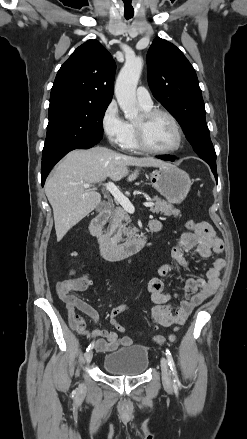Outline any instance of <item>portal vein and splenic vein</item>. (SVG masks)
I'll list each match as a JSON object with an SVG mask.
<instances>
[{
  "label": "portal vein and splenic vein",
  "instance_id": "1",
  "mask_svg": "<svg viewBox=\"0 0 247 439\" xmlns=\"http://www.w3.org/2000/svg\"><path fill=\"white\" fill-rule=\"evenodd\" d=\"M106 189L114 196L115 200L119 202V204L123 207L124 210H126L129 213H134L135 208L133 204L130 202V200L118 189V187L111 181L103 184ZM83 186L86 189H89L92 187L91 184H83ZM143 205L145 207H153V202H144Z\"/></svg>",
  "mask_w": 247,
  "mask_h": 439
}]
</instances>
